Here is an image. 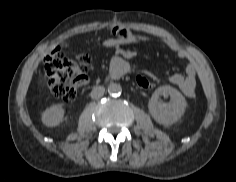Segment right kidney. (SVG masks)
I'll return each instance as SVG.
<instances>
[{"instance_id":"1","label":"right kidney","mask_w":236,"mask_h":182,"mask_svg":"<svg viewBox=\"0 0 236 182\" xmlns=\"http://www.w3.org/2000/svg\"><path fill=\"white\" fill-rule=\"evenodd\" d=\"M64 118V109L60 105H53L42 114V122L47 127L58 126Z\"/></svg>"}]
</instances>
